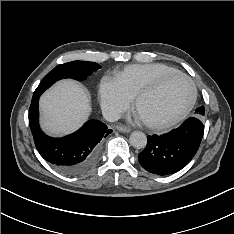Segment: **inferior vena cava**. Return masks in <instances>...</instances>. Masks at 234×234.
I'll use <instances>...</instances> for the list:
<instances>
[{
	"label": "inferior vena cava",
	"mask_w": 234,
	"mask_h": 234,
	"mask_svg": "<svg viewBox=\"0 0 234 234\" xmlns=\"http://www.w3.org/2000/svg\"><path fill=\"white\" fill-rule=\"evenodd\" d=\"M102 114L105 120L109 122H114L120 119V113L115 109L104 108L102 109Z\"/></svg>",
	"instance_id": "1"
}]
</instances>
